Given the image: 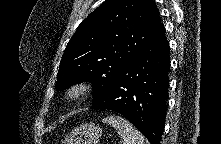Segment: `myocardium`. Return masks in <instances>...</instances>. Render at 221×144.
I'll use <instances>...</instances> for the list:
<instances>
[{
  "instance_id": "myocardium-1",
  "label": "myocardium",
  "mask_w": 221,
  "mask_h": 144,
  "mask_svg": "<svg viewBox=\"0 0 221 144\" xmlns=\"http://www.w3.org/2000/svg\"><path fill=\"white\" fill-rule=\"evenodd\" d=\"M91 90L92 85L90 82L84 80L77 81L67 87L65 90V99L70 103L78 102L88 96Z\"/></svg>"
}]
</instances>
